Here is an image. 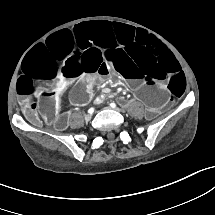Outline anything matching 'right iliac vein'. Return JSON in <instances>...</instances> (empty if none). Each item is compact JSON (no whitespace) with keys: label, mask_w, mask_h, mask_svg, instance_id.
<instances>
[{"label":"right iliac vein","mask_w":215,"mask_h":215,"mask_svg":"<svg viewBox=\"0 0 215 215\" xmlns=\"http://www.w3.org/2000/svg\"><path fill=\"white\" fill-rule=\"evenodd\" d=\"M90 119H91V115L88 114V115L85 116V120H86V121H88V120H90Z\"/></svg>","instance_id":"63e3f726"}]
</instances>
